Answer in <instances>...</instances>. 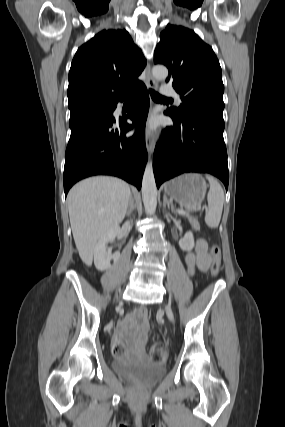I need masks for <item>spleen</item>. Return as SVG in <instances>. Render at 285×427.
<instances>
[{
  "label": "spleen",
  "mask_w": 285,
  "mask_h": 427,
  "mask_svg": "<svg viewBox=\"0 0 285 427\" xmlns=\"http://www.w3.org/2000/svg\"><path fill=\"white\" fill-rule=\"evenodd\" d=\"M210 183V189L207 195L208 212L205 216L206 224L211 228L218 227L224 204V192L218 181L212 176L207 175Z\"/></svg>",
  "instance_id": "spleen-1"
}]
</instances>
